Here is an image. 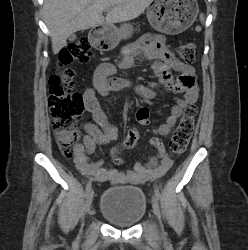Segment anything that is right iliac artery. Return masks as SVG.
I'll list each match as a JSON object with an SVG mask.
<instances>
[{
  "mask_svg": "<svg viewBox=\"0 0 248 250\" xmlns=\"http://www.w3.org/2000/svg\"><path fill=\"white\" fill-rule=\"evenodd\" d=\"M91 185H92V181H91V180H89V181L87 182V184H86V188H85V192H86V194H87V192L91 189Z\"/></svg>",
  "mask_w": 248,
  "mask_h": 250,
  "instance_id": "obj_1",
  "label": "right iliac artery"
}]
</instances>
